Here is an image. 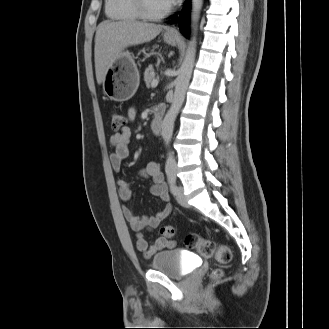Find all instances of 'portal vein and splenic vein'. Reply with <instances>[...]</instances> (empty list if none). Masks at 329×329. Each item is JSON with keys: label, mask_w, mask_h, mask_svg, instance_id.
<instances>
[{"label": "portal vein and splenic vein", "mask_w": 329, "mask_h": 329, "mask_svg": "<svg viewBox=\"0 0 329 329\" xmlns=\"http://www.w3.org/2000/svg\"><path fill=\"white\" fill-rule=\"evenodd\" d=\"M158 82H159V79H153L152 82H151V87H156L158 85Z\"/></svg>", "instance_id": "obj_1"}]
</instances>
